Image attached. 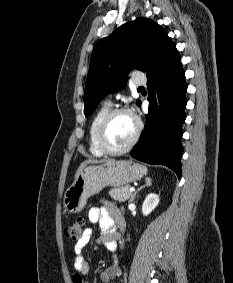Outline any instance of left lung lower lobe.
<instances>
[{
  "instance_id": "obj_1",
  "label": "left lung lower lobe",
  "mask_w": 233,
  "mask_h": 283,
  "mask_svg": "<svg viewBox=\"0 0 233 283\" xmlns=\"http://www.w3.org/2000/svg\"><path fill=\"white\" fill-rule=\"evenodd\" d=\"M147 89L149 112L146 125L131 155L149 164L166 165L180 178V140L182 124L186 119L187 85L175 45L147 74Z\"/></svg>"
}]
</instances>
